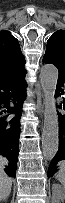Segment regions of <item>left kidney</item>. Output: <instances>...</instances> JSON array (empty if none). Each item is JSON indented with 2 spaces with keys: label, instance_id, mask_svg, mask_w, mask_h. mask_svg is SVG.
<instances>
[{
  "label": "left kidney",
  "instance_id": "obj_1",
  "mask_svg": "<svg viewBox=\"0 0 65 203\" xmlns=\"http://www.w3.org/2000/svg\"><path fill=\"white\" fill-rule=\"evenodd\" d=\"M52 203H64L65 188L59 184H53V199Z\"/></svg>",
  "mask_w": 65,
  "mask_h": 203
}]
</instances>
